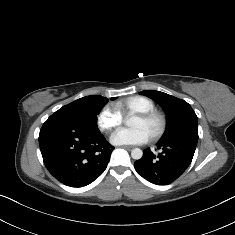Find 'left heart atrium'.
<instances>
[{
    "instance_id": "39dd6f15",
    "label": "left heart atrium",
    "mask_w": 235,
    "mask_h": 235,
    "mask_svg": "<svg viewBox=\"0 0 235 235\" xmlns=\"http://www.w3.org/2000/svg\"><path fill=\"white\" fill-rule=\"evenodd\" d=\"M150 135L143 128L118 129L110 136V141L115 145H135L147 143Z\"/></svg>"
}]
</instances>
